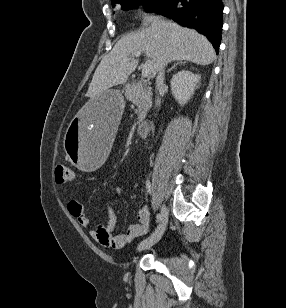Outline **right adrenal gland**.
Returning <instances> with one entry per match:
<instances>
[{
  "label": "right adrenal gland",
  "instance_id": "2a0ac1e0",
  "mask_svg": "<svg viewBox=\"0 0 286 308\" xmlns=\"http://www.w3.org/2000/svg\"><path fill=\"white\" fill-rule=\"evenodd\" d=\"M187 61H179L178 63L174 64L169 70L168 73L171 72L177 65L186 64Z\"/></svg>",
  "mask_w": 286,
  "mask_h": 308
}]
</instances>
